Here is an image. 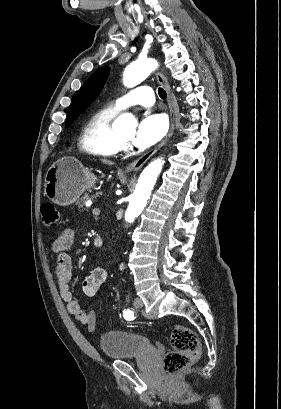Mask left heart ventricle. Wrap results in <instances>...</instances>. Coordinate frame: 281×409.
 Here are the masks:
<instances>
[{"mask_svg": "<svg viewBox=\"0 0 281 409\" xmlns=\"http://www.w3.org/2000/svg\"><path fill=\"white\" fill-rule=\"evenodd\" d=\"M116 130L127 144L132 145L133 136L136 131L135 128H118Z\"/></svg>", "mask_w": 281, "mask_h": 409, "instance_id": "1", "label": "left heart ventricle"}]
</instances>
